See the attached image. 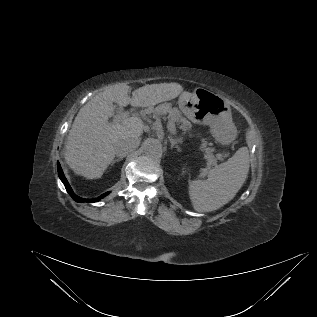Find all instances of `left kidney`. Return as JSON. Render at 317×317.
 Instances as JSON below:
<instances>
[{
    "label": "left kidney",
    "mask_w": 317,
    "mask_h": 317,
    "mask_svg": "<svg viewBox=\"0 0 317 317\" xmlns=\"http://www.w3.org/2000/svg\"><path fill=\"white\" fill-rule=\"evenodd\" d=\"M186 172V170L183 169L182 173L184 174Z\"/></svg>",
    "instance_id": "left-kidney-1"
}]
</instances>
